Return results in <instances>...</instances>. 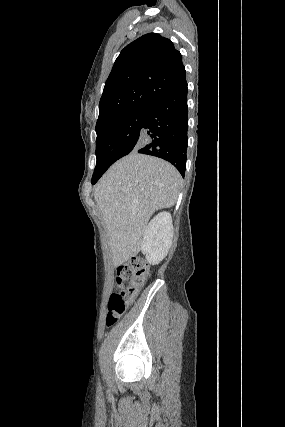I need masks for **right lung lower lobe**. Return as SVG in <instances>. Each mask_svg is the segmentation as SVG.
<instances>
[{
	"instance_id": "1",
	"label": "right lung lower lobe",
	"mask_w": 285,
	"mask_h": 427,
	"mask_svg": "<svg viewBox=\"0 0 285 427\" xmlns=\"http://www.w3.org/2000/svg\"><path fill=\"white\" fill-rule=\"evenodd\" d=\"M187 82L159 97L146 107L138 153L162 158L184 177L186 169L188 108ZM104 172L93 176L95 184Z\"/></svg>"
}]
</instances>
